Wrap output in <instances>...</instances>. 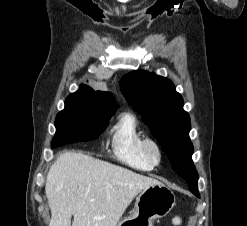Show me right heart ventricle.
Instances as JSON below:
<instances>
[{"label": "right heart ventricle", "mask_w": 247, "mask_h": 226, "mask_svg": "<svg viewBox=\"0 0 247 226\" xmlns=\"http://www.w3.org/2000/svg\"><path fill=\"white\" fill-rule=\"evenodd\" d=\"M144 139L136 117L131 113L122 114L111 130L113 155L122 163L142 171L153 168L143 156L141 144Z\"/></svg>", "instance_id": "1"}]
</instances>
